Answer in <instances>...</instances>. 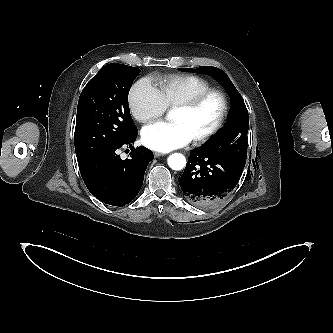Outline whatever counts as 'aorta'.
I'll use <instances>...</instances> for the list:
<instances>
[{
  "label": "aorta",
  "mask_w": 333,
  "mask_h": 333,
  "mask_svg": "<svg viewBox=\"0 0 333 333\" xmlns=\"http://www.w3.org/2000/svg\"><path fill=\"white\" fill-rule=\"evenodd\" d=\"M168 165L173 170H181L186 165V159L184 155L180 153H174L168 157Z\"/></svg>",
  "instance_id": "obj_1"
}]
</instances>
